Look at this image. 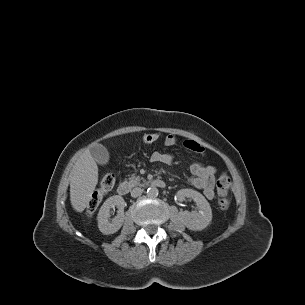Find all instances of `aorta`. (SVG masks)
<instances>
[{
  "label": "aorta",
  "mask_w": 305,
  "mask_h": 305,
  "mask_svg": "<svg viewBox=\"0 0 305 305\" xmlns=\"http://www.w3.org/2000/svg\"><path fill=\"white\" fill-rule=\"evenodd\" d=\"M158 189L154 186H151L147 189V196L150 197V198H155L158 196Z\"/></svg>",
  "instance_id": "1"
}]
</instances>
